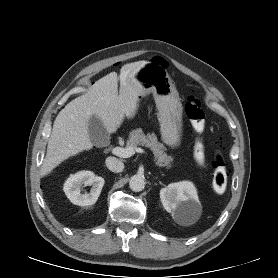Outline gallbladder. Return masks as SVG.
Returning a JSON list of instances; mask_svg holds the SVG:
<instances>
[{
  "label": "gallbladder",
  "instance_id": "1",
  "mask_svg": "<svg viewBox=\"0 0 278 278\" xmlns=\"http://www.w3.org/2000/svg\"><path fill=\"white\" fill-rule=\"evenodd\" d=\"M91 142L97 147L107 146L110 143V135L103 122L95 115L91 116L88 125Z\"/></svg>",
  "mask_w": 278,
  "mask_h": 278
}]
</instances>
